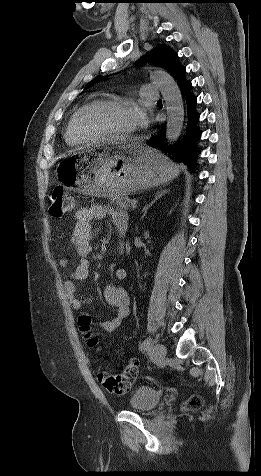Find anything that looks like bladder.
<instances>
[{
    "label": "bladder",
    "mask_w": 261,
    "mask_h": 476,
    "mask_svg": "<svg viewBox=\"0 0 261 476\" xmlns=\"http://www.w3.org/2000/svg\"><path fill=\"white\" fill-rule=\"evenodd\" d=\"M162 394L150 387L140 386L131 395L129 406L138 412H149L160 402Z\"/></svg>",
    "instance_id": "1"
}]
</instances>
